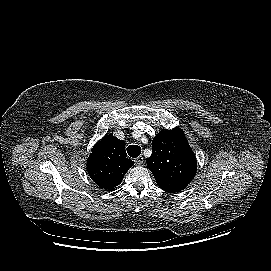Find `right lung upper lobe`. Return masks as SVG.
I'll return each instance as SVG.
<instances>
[{"label": "right lung upper lobe", "mask_w": 271, "mask_h": 271, "mask_svg": "<svg viewBox=\"0 0 271 271\" xmlns=\"http://www.w3.org/2000/svg\"><path fill=\"white\" fill-rule=\"evenodd\" d=\"M126 157L124 141L112 135L104 136L93 146L88 157V174L100 188L114 190L134 165V162Z\"/></svg>", "instance_id": "right-lung-upper-lobe-1"}]
</instances>
